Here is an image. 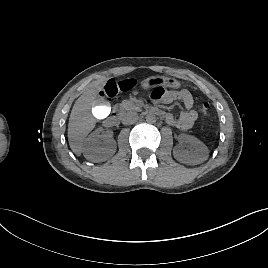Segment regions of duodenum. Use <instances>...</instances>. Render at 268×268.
<instances>
[{"mask_svg":"<svg viewBox=\"0 0 268 268\" xmlns=\"http://www.w3.org/2000/svg\"><path fill=\"white\" fill-rule=\"evenodd\" d=\"M151 112L153 114H156V115H162L161 111L152 110ZM119 120H120V113L117 110H114L112 112L111 116L109 118H107L106 124L108 126H113V125L117 124L119 122Z\"/></svg>","mask_w":268,"mask_h":268,"instance_id":"1","label":"duodenum"}]
</instances>
